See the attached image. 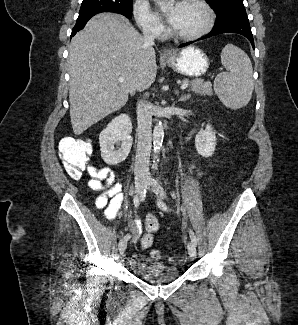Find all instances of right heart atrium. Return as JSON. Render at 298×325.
<instances>
[{"mask_svg":"<svg viewBox=\"0 0 298 325\" xmlns=\"http://www.w3.org/2000/svg\"><path fill=\"white\" fill-rule=\"evenodd\" d=\"M134 14L140 30H155L156 41L161 39L164 32V26L153 14L148 0H137L134 6Z\"/></svg>","mask_w":298,"mask_h":325,"instance_id":"right-heart-atrium-1","label":"right heart atrium"}]
</instances>
